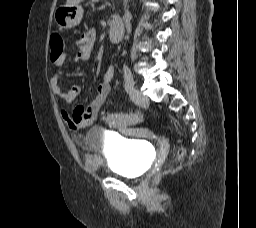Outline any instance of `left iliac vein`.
<instances>
[{
    "instance_id": "left-iliac-vein-1",
    "label": "left iliac vein",
    "mask_w": 256,
    "mask_h": 228,
    "mask_svg": "<svg viewBox=\"0 0 256 228\" xmlns=\"http://www.w3.org/2000/svg\"><path fill=\"white\" fill-rule=\"evenodd\" d=\"M130 97L138 105L145 106L148 104V98L137 88L130 90Z\"/></svg>"
}]
</instances>
